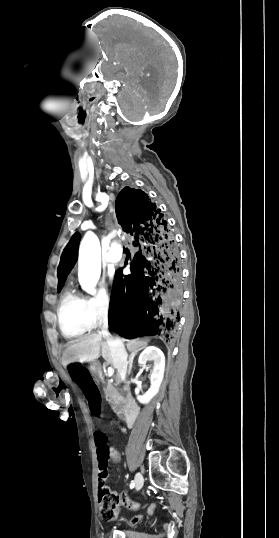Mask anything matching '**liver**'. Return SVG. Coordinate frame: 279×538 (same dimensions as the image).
Instances as JSON below:
<instances>
[{"label": "liver", "instance_id": "6515ba94", "mask_svg": "<svg viewBox=\"0 0 279 538\" xmlns=\"http://www.w3.org/2000/svg\"><path fill=\"white\" fill-rule=\"evenodd\" d=\"M102 334H87L81 340L70 342L66 350L70 360L69 362H95L101 356L107 364H112V358L107 342H102ZM127 342L129 352H138L148 346L149 340H122Z\"/></svg>", "mask_w": 279, "mask_h": 538}]
</instances>
